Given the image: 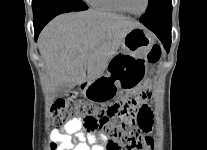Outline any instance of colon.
<instances>
[{"instance_id":"obj_1","label":"colon","mask_w":207,"mask_h":150,"mask_svg":"<svg viewBox=\"0 0 207 150\" xmlns=\"http://www.w3.org/2000/svg\"><path fill=\"white\" fill-rule=\"evenodd\" d=\"M162 49L154 45L147 59L157 63ZM146 91L122 97L120 100L101 105L75 96L58 100L51 110L54 126L59 127L72 119H80L88 132L101 131L107 137L105 150H152L153 139L147 135L154 125V106H147L150 100ZM53 147L56 144L53 143Z\"/></svg>"}]
</instances>
